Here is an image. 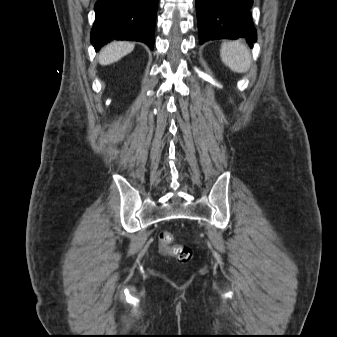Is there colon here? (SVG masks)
I'll return each mask as SVG.
<instances>
[{
  "label": "colon",
  "mask_w": 337,
  "mask_h": 337,
  "mask_svg": "<svg viewBox=\"0 0 337 337\" xmlns=\"http://www.w3.org/2000/svg\"><path fill=\"white\" fill-rule=\"evenodd\" d=\"M158 241L163 252L173 254L180 261H187L192 255V251L188 246L174 244L173 234L169 231H161L158 236Z\"/></svg>",
  "instance_id": "colon-1"
}]
</instances>
